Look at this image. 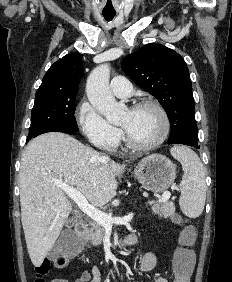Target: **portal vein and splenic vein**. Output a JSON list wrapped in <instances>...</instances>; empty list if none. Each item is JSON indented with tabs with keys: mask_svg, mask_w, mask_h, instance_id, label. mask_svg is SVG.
Wrapping results in <instances>:
<instances>
[{
	"mask_svg": "<svg viewBox=\"0 0 232 282\" xmlns=\"http://www.w3.org/2000/svg\"><path fill=\"white\" fill-rule=\"evenodd\" d=\"M64 192L65 194L70 197L77 205L78 207L91 219L98 222L104 227H112L113 224L115 225H125L128 222H130L133 218V213H129L128 215L124 217H112L111 215L100 211L99 209L95 208L93 205L89 204L86 198L82 195V193L68 185L65 184H57ZM171 196V193L169 191H166L162 194V196L159 198L157 202L155 201H149L147 204L152 205L156 203H163L169 200Z\"/></svg>",
	"mask_w": 232,
	"mask_h": 282,
	"instance_id": "portal-vein-and-splenic-vein-1",
	"label": "portal vein and splenic vein"
}]
</instances>
